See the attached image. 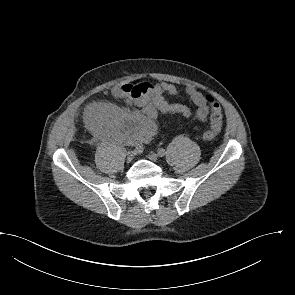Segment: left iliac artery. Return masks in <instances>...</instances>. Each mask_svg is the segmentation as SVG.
Listing matches in <instances>:
<instances>
[{
	"instance_id": "1",
	"label": "left iliac artery",
	"mask_w": 295,
	"mask_h": 295,
	"mask_svg": "<svg viewBox=\"0 0 295 295\" xmlns=\"http://www.w3.org/2000/svg\"><path fill=\"white\" fill-rule=\"evenodd\" d=\"M157 153H158V155H159L160 157H163V156L166 154V151H165V149H163V148H159V149L157 150Z\"/></svg>"
}]
</instances>
